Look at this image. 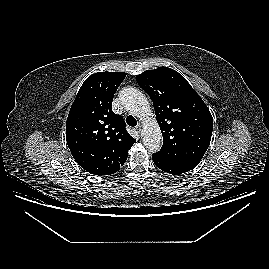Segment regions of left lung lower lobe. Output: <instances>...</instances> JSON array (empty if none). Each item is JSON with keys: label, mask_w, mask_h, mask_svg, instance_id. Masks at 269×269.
Returning a JSON list of instances; mask_svg holds the SVG:
<instances>
[{"label": "left lung lower lobe", "mask_w": 269, "mask_h": 269, "mask_svg": "<svg viewBox=\"0 0 269 269\" xmlns=\"http://www.w3.org/2000/svg\"><path fill=\"white\" fill-rule=\"evenodd\" d=\"M152 159H153L155 165L159 169H161L162 171H164L166 173H170L173 175H179V174L188 172V171L193 169V167H190V166H182V165H175V164L168 163V162L158 158L155 155H152Z\"/></svg>", "instance_id": "obj_1"}]
</instances>
